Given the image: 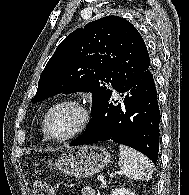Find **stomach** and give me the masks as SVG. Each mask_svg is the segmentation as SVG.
Masks as SVG:
<instances>
[{"instance_id": "stomach-1", "label": "stomach", "mask_w": 189, "mask_h": 195, "mask_svg": "<svg viewBox=\"0 0 189 195\" xmlns=\"http://www.w3.org/2000/svg\"><path fill=\"white\" fill-rule=\"evenodd\" d=\"M111 159L110 153L98 146H80L68 149L49 166L76 178L92 176L102 170Z\"/></svg>"}]
</instances>
